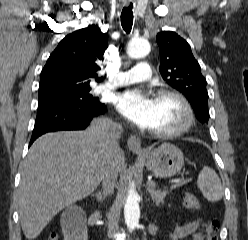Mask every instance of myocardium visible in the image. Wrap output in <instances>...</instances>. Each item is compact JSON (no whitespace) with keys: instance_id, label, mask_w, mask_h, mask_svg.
<instances>
[{"instance_id":"obj_1","label":"myocardium","mask_w":248,"mask_h":240,"mask_svg":"<svg viewBox=\"0 0 248 240\" xmlns=\"http://www.w3.org/2000/svg\"><path fill=\"white\" fill-rule=\"evenodd\" d=\"M157 97H173L175 98L182 106L184 117L179 125L174 128L166 130H151V133L158 137H175L179 136L190 129L195 120V114L192 105L190 104L187 97L179 92L178 90L171 88H164L157 92Z\"/></svg>"}]
</instances>
